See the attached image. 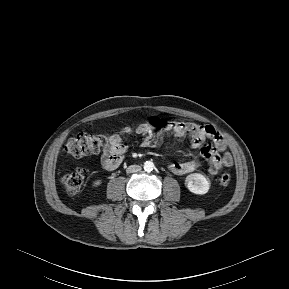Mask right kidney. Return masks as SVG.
I'll return each instance as SVG.
<instances>
[{
  "instance_id": "1",
  "label": "right kidney",
  "mask_w": 289,
  "mask_h": 289,
  "mask_svg": "<svg viewBox=\"0 0 289 289\" xmlns=\"http://www.w3.org/2000/svg\"><path fill=\"white\" fill-rule=\"evenodd\" d=\"M100 184H101V180H96V181L93 182V186H94V187H97V186H99Z\"/></svg>"
}]
</instances>
